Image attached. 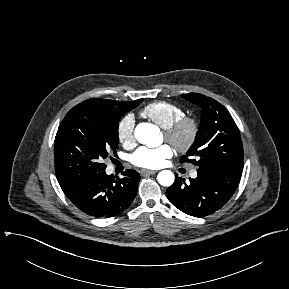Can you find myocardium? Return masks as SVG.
<instances>
[{"label":"myocardium","instance_id":"myocardium-1","mask_svg":"<svg viewBox=\"0 0 289 289\" xmlns=\"http://www.w3.org/2000/svg\"><path fill=\"white\" fill-rule=\"evenodd\" d=\"M199 133L198 121L191 116H182L164 129V138L182 153L194 145Z\"/></svg>","mask_w":289,"mask_h":289}]
</instances>
